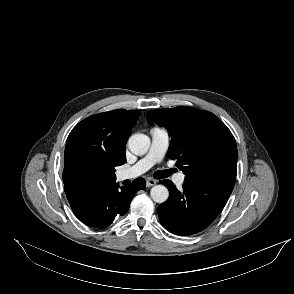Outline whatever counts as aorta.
Masks as SVG:
<instances>
[{
	"instance_id": "obj_1",
	"label": "aorta",
	"mask_w": 294,
	"mask_h": 294,
	"mask_svg": "<svg viewBox=\"0 0 294 294\" xmlns=\"http://www.w3.org/2000/svg\"><path fill=\"white\" fill-rule=\"evenodd\" d=\"M128 145L132 153L143 155L150 147V138L145 134H134L129 138ZM150 195L156 203H164L169 197V191L164 185H155Z\"/></svg>"
}]
</instances>
